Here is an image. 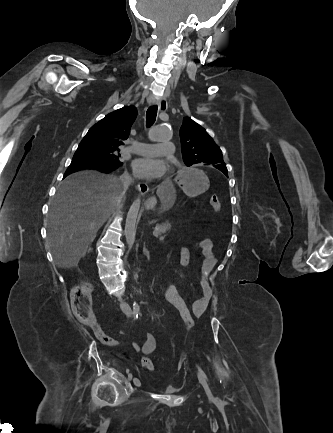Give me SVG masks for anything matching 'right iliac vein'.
Segmentation results:
<instances>
[{
	"mask_svg": "<svg viewBox=\"0 0 333 433\" xmlns=\"http://www.w3.org/2000/svg\"><path fill=\"white\" fill-rule=\"evenodd\" d=\"M132 377H133L132 373H129L128 374V380H132ZM133 383H134L135 387H139L141 385L139 379H137V378L133 379Z\"/></svg>",
	"mask_w": 333,
	"mask_h": 433,
	"instance_id": "1",
	"label": "right iliac vein"
}]
</instances>
